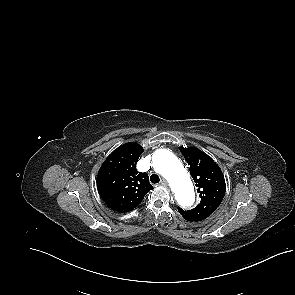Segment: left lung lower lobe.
Masks as SVG:
<instances>
[{"label":"left lung lower lobe","instance_id":"left-lung-lower-lobe-1","mask_svg":"<svg viewBox=\"0 0 295 295\" xmlns=\"http://www.w3.org/2000/svg\"><path fill=\"white\" fill-rule=\"evenodd\" d=\"M178 211L181 213V215L188 221H201L203 220L202 218L196 217L194 215L189 214L188 212H186L185 210L181 209L178 207Z\"/></svg>","mask_w":295,"mask_h":295}]
</instances>
